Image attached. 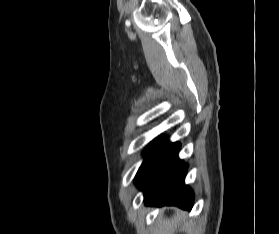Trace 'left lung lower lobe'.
<instances>
[{
	"mask_svg": "<svg viewBox=\"0 0 279 234\" xmlns=\"http://www.w3.org/2000/svg\"><path fill=\"white\" fill-rule=\"evenodd\" d=\"M179 143L159 138L145 149V159L139 168L135 183L144 192L146 205H176L190 210L194 195L185 186L187 164L179 160Z\"/></svg>",
	"mask_w": 279,
	"mask_h": 234,
	"instance_id": "0a47b994",
	"label": "left lung lower lobe"
}]
</instances>
